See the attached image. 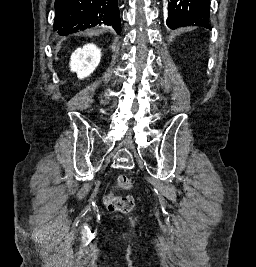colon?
Wrapping results in <instances>:
<instances>
[{
	"mask_svg": "<svg viewBox=\"0 0 256 267\" xmlns=\"http://www.w3.org/2000/svg\"><path fill=\"white\" fill-rule=\"evenodd\" d=\"M132 183L127 175H120L117 177L113 190L105 196L106 208L109 212L128 213L131 212L135 203L129 196H123L118 191L130 189Z\"/></svg>",
	"mask_w": 256,
	"mask_h": 267,
	"instance_id": "1",
	"label": "colon"
}]
</instances>
